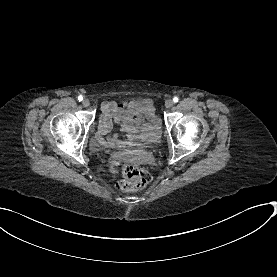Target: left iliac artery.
<instances>
[{"label": "left iliac artery", "mask_w": 277, "mask_h": 277, "mask_svg": "<svg viewBox=\"0 0 277 277\" xmlns=\"http://www.w3.org/2000/svg\"><path fill=\"white\" fill-rule=\"evenodd\" d=\"M178 100H179L178 97H174V98H173V101H174L175 103H177Z\"/></svg>", "instance_id": "1"}]
</instances>
